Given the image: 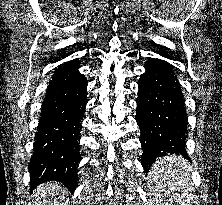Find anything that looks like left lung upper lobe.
Returning <instances> with one entry per match:
<instances>
[{"label":"left lung upper lobe","instance_id":"1","mask_svg":"<svg viewBox=\"0 0 222 205\" xmlns=\"http://www.w3.org/2000/svg\"><path fill=\"white\" fill-rule=\"evenodd\" d=\"M163 155V153L160 151L157 153L156 157H161Z\"/></svg>","mask_w":222,"mask_h":205}]
</instances>
